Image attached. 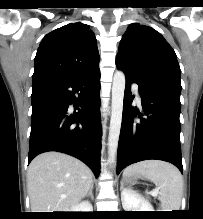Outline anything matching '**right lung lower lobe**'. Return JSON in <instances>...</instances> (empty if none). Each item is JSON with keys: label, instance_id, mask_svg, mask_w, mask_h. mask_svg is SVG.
<instances>
[{"label": "right lung lower lobe", "instance_id": "obj_1", "mask_svg": "<svg viewBox=\"0 0 203 219\" xmlns=\"http://www.w3.org/2000/svg\"><path fill=\"white\" fill-rule=\"evenodd\" d=\"M100 70L33 80L28 164L40 153L58 151L100 169Z\"/></svg>", "mask_w": 203, "mask_h": 219}]
</instances>
